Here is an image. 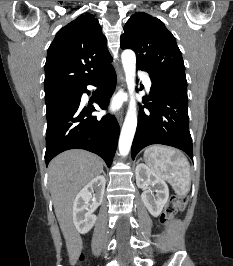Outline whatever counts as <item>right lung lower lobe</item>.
Returning a JSON list of instances; mask_svg holds the SVG:
<instances>
[{"instance_id": "98d812e1", "label": "right lung lower lobe", "mask_w": 233, "mask_h": 266, "mask_svg": "<svg viewBox=\"0 0 233 266\" xmlns=\"http://www.w3.org/2000/svg\"><path fill=\"white\" fill-rule=\"evenodd\" d=\"M87 85H98L95 102L106 109L116 86V73L112 65L104 68L90 82L77 89L73 96L47 108L46 165L57 154L68 149H85L99 155L110 167L114 157L120 127L114 116L97 119L91 116L96 109L81 104Z\"/></svg>"}]
</instances>
